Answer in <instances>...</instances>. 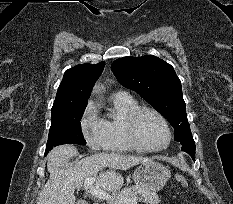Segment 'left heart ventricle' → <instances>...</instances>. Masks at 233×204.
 I'll return each mask as SVG.
<instances>
[{"label": "left heart ventricle", "instance_id": "1", "mask_svg": "<svg viewBox=\"0 0 233 204\" xmlns=\"http://www.w3.org/2000/svg\"><path fill=\"white\" fill-rule=\"evenodd\" d=\"M137 132L141 143L149 148L160 147L167 139L164 125L158 117L149 112H145L139 117Z\"/></svg>", "mask_w": 233, "mask_h": 204}]
</instances>
